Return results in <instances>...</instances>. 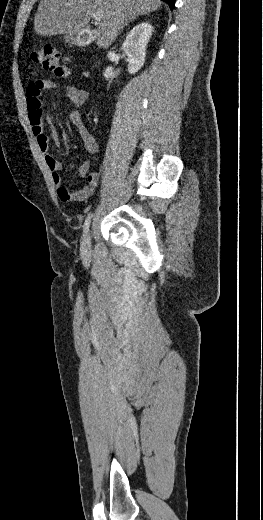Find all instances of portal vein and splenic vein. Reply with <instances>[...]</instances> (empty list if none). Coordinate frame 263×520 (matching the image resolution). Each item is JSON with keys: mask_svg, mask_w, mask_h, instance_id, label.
Masks as SVG:
<instances>
[{"mask_svg": "<svg viewBox=\"0 0 263 520\" xmlns=\"http://www.w3.org/2000/svg\"><path fill=\"white\" fill-rule=\"evenodd\" d=\"M92 16L96 21H100L103 17L102 13H100V12H95L92 14Z\"/></svg>", "mask_w": 263, "mask_h": 520, "instance_id": "1", "label": "portal vein and splenic vein"}]
</instances>
